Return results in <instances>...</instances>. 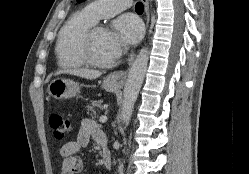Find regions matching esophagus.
<instances>
[{
	"label": "esophagus",
	"mask_w": 249,
	"mask_h": 174,
	"mask_svg": "<svg viewBox=\"0 0 249 174\" xmlns=\"http://www.w3.org/2000/svg\"><path fill=\"white\" fill-rule=\"evenodd\" d=\"M144 3L145 7V18H146V24L148 25L149 23V17H150V12H149V1L148 0H142ZM135 54L132 53L128 59V64L131 65L133 60H134ZM127 70L124 71H116L113 72L109 75V78L112 82H114L118 86H123L126 82L127 79Z\"/></svg>",
	"instance_id": "1"
}]
</instances>
